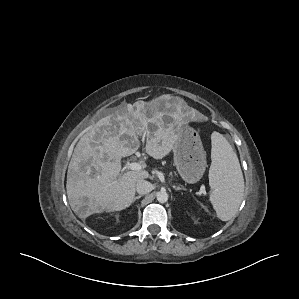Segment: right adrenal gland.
Returning a JSON list of instances; mask_svg holds the SVG:
<instances>
[{
    "mask_svg": "<svg viewBox=\"0 0 299 299\" xmlns=\"http://www.w3.org/2000/svg\"><path fill=\"white\" fill-rule=\"evenodd\" d=\"M141 197H142V195H138V196L134 197L133 202H135L136 200L140 199Z\"/></svg>",
    "mask_w": 299,
    "mask_h": 299,
    "instance_id": "2a0ac1e0",
    "label": "right adrenal gland"
}]
</instances>
